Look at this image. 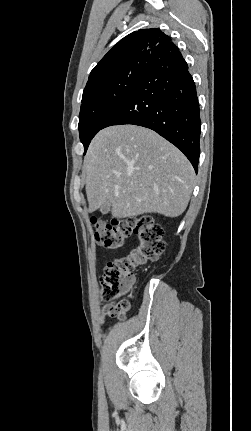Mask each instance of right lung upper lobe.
Segmentation results:
<instances>
[{"label": "right lung upper lobe", "mask_w": 251, "mask_h": 431, "mask_svg": "<svg viewBox=\"0 0 251 431\" xmlns=\"http://www.w3.org/2000/svg\"><path fill=\"white\" fill-rule=\"evenodd\" d=\"M179 51L177 46L157 28L141 29L119 41L94 67L86 87L114 73L119 68L138 61H148L155 52Z\"/></svg>", "instance_id": "obj_1"}]
</instances>
